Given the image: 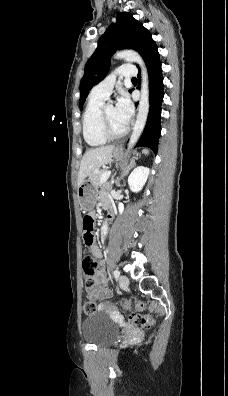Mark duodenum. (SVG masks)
I'll return each mask as SVG.
<instances>
[{
    "label": "duodenum",
    "instance_id": "1",
    "mask_svg": "<svg viewBox=\"0 0 228 396\" xmlns=\"http://www.w3.org/2000/svg\"><path fill=\"white\" fill-rule=\"evenodd\" d=\"M109 205L108 204H103V207L107 208Z\"/></svg>",
    "mask_w": 228,
    "mask_h": 396
}]
</instances>
